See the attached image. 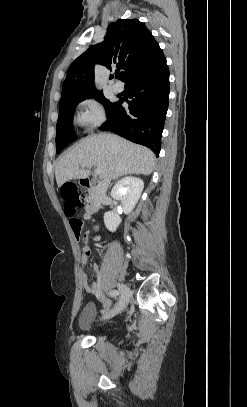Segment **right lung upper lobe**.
Returning <instances> with one entry per match:
<instances>
[{
	"label": "right lung upper lobe",
	"mask_w": 247,
	"mask_h": 407,
	"mask_svg": "<svg viewBox=\"0 0 247 407\" xmlns=\"http://www.w3.org/2000/svg\"><path fill=\"white\" fill-rule=\"evenodd\" d=\"M163 57L162 49L144 23L137 19H119L108 26L104 41L91 46L70 65L63 82L60 104L96 94V63L108 69L117 67L121 70L120 79L125 81L135 70Z\"/></svg>",
	"instance_id": "obj_1"
}]
</instances>
